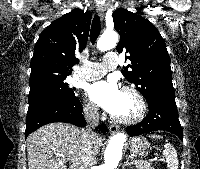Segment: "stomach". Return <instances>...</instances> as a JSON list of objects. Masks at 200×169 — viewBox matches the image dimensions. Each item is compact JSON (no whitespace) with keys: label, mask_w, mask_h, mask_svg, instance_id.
<instances>
[{"label":"stomach","mask_w":200,"mask_h":169,"mask_svg":"<svg viewBox=\"0 0 200 169\" xmlns=\"http://www.w3.org/2000/svg\"><path fill=\"white\" fill-rule=\"evenodd\" d=\"M130 150L138 156H146L149 151V142L143 137H136L130 141Z\"/></svg>","instance_id":"0dacf381"}]
</instances>
